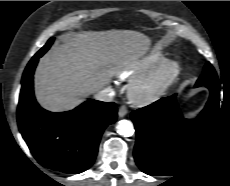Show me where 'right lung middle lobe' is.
<instances>
[{
	"instance_id": "dd1d6c3e",
	"label": "right lung middle lobe",
	"mask_w": 230,
	"mask_h": 186,
	"mask_svg": "<svg viewBox=\"0 0 230 186\" xmlns=\"http://www.w3.org/2000/svg\"><path fill=\"white\" fill-rule=\"evenodd\" d=\"M53 41H54V38L53 37L50 38L48 42L35 54V56L40 58L50 48Z\"/></svg>"
}]
</instances>
